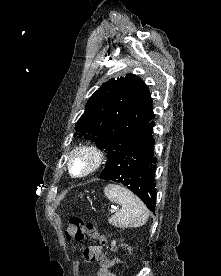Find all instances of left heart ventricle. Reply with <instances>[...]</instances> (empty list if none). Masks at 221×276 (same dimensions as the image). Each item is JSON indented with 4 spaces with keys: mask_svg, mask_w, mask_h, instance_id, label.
<instances>
[{
    "mask_svg": "<svg viewBox=\"0 0 221 276\" xmlns=\"http://www.w3.org/2000/svg\"><path fill=\"white\" fill-rule=\"evenodd\" d=\"M87 166V162L83 157H78L75 161H74V170L76 172H82L85 170Z\"/></svg>",
    "mask_w": 221,
    "mask_h": 276,
    "instance_id": "left-heart-ventricle-1",
    "label": "left heart ventricle"
}]
</instances>
